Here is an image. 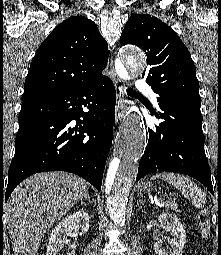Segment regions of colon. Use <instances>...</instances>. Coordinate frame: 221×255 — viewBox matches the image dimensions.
<instances>
[{"label":"colon","mask_w":221,"mask_h":255,"mask_svg":"<svg viewBox=\"0 0 221 255\" xmlns=\"http://www.w3.org/2000/svg\"><path fill=\"white\" fill-rule=\"evenodd\" d=\"M197 222L202 237L207 238L210 233V218L209 213L206 209H203L199 212L197 216Z\"/></svg>","instance_id":"colon-1"}]
</instances>
